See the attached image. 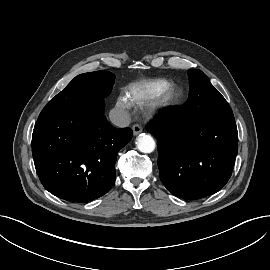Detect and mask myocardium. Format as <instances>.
<instances>
[{
    "label": "myocardium",
    "instance_id": "f54148a6",
    "mask_svg": "<svg viewBox=\"0 0 270 270\" xmlns=\"http://www.w3.org/2000/svg\"><path fill=\"white\" fill-rule=\"evenodd\" d=\"M184 100L183 91L176 85H169L164 91L149 105L148 113L151 116L163 115L178 107Z\"/></svg>",
    "mask_w": 270,
    "mask_h": 270
}]
</instances>
